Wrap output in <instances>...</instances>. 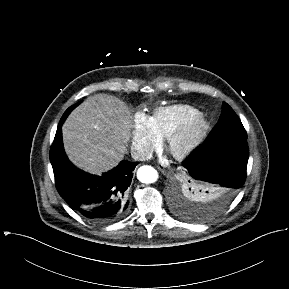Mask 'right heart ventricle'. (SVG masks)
<instances>
[{
  "instance_id": "e07e8e85",
  "label": "right heart ventricle",
  "mask_w": 289,
  "mask_h": 289,
  "mask_svg": "<svg viewBox=\"0 0 289 289\" xmlns=\"http://www.w3.org/2000/svg\"><path fill=\"white\" fill-rule=\"evenodd\" d=\"M199 114L200 111L191 105L175 104L156 108L149 118L154 133L162 141Z\"/></svg>"
}]
</instances>
